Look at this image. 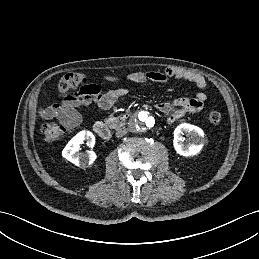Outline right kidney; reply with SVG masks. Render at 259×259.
I'll use <instances>...</instances> for the list:
<instances>
[{"mask_svg":"<svg viewBox=\"0 0 259 259\" xmlns=\"http://www.w3.org/2000/svg\"><path fill=\"white\" fill-rule=\"evenodd\" d=\"M87 141V145L91 148L95 145V136L90 131H80L76 134L65 146L62 151V156L76 166L91 165L97 158L94 151L87 153H78L80 145Z\"/></svg>","mask_w":259,"mask_h":259,"instance_id":"1","label":"right kidney"}]
</instances>
